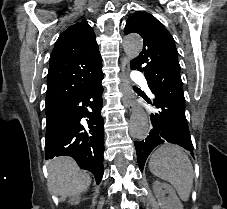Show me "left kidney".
Here are the masks:
<instances>
[{"label": "left kidney", "instance_id": "left-kidney-1", "mask_svg": "<svg viewBox=\"0 0 227 209\" xmlns=\"http://www.w3.org/2000/svg\"><path fill=\"white\" fill-rule=\"evenodd\" d=\"M152 189L156 199H158L160 209H183V205L171 185L154 181ZM165 195H168V197H165Z\"/></svg>", "mask_w": 227, "mask_h": 209}]
</instances>
